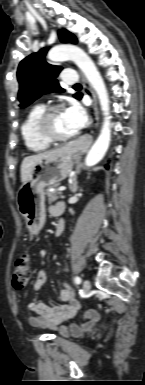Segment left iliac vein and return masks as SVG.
I'll use <instances>...</instances> for the list:
<instances>
[{"label":"left iliac vein","mask_w":145,"mask_h":385,"mask_svg":"<svg viewBox=\"0 0 145 385\" xmlns=\"http://www.w3.org/2000/svg\"><path fill=\"white\" fill-rule=\"evenodd\" d=\"M90 288H91L90 281H89L88 279H85V280L83 281V292H84L85 294H87V293L89 292Z\"/></svg>","instance_id":"left-iliac-vein-1"}]
</instances>
